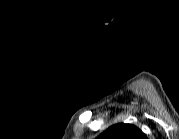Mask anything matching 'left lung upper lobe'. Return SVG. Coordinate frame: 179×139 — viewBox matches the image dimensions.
<instances>
[{
	"label": "left lung upper lobe",
	"instance_id": "5c2ea615",
	"mask_svg": "<svg viewBox=\"0 0 179 139\" xmlns=\"http://www.w3.org/2000/svg\"><path fill=\"white\" fill-rule=\"evenodd\" d=\"M104 139H145L143 132L131 124H115L101 134Z\"/></svg>",
	"mask_w": 179,
	"mask_h": 139
}]
</instances>
